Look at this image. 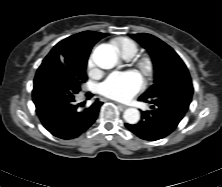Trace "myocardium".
Returning a JSON list of instances; mask_svg holds the SVG:
<instances>
[{"mask_svg":"<svg viewBox=\"0 0 222 187\" xmlns=\"http://www.w3.org/2000/svg\"><path fill=\"white\" fill-rule=\"evenodd\" d=\"M141 69L145 72H149L151 69L150 63L147 60H143L139 63Z\"/></svg>","mask_w":222,"mask_h":187,"instance_id":"1","label":"myocardium"}]
</instances>
